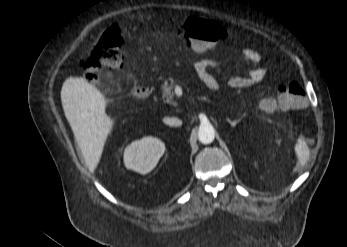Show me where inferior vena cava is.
Returning <instances> with one entry per match:
<instances>
[{
	"instance_id": "602c4592",
	"label": "inferior vena cava",
	"mask_w": 347,
	"mask_h": 247,
	"mask_svg": "<svg viewBox=\"0 0 347 247\" xmlns=\"http://www.w3.org/2000/svg\"><path fill=\"white\" fill-rule=\"evenodd\" d=\"M164 122L169 125L179 126L182 124V121L177 118H164Z\"/></svg>"
}]
</instances>
